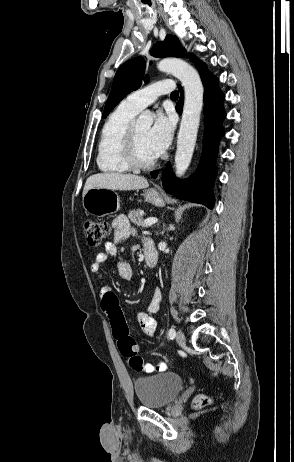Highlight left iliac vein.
<instances>
[{"label":"left iliac vein","instance_id":"obj_1","mask_svg":"<svg viewBox=\"0 0 294 462\" xmlns=\"http://www.w3.org/2000/svg\"><path fill=\"white\" fill-rule=\"evenodd\" d=\"M175 339L180 346L185 345V336L181 330H178V332L176 333Z\"/></svg>","mask_w":294,"mask_h":462}]
</instances>
